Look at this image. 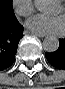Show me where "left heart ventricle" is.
Instances as JSON below:
<instances>
[{
    "instance_id": "b2bd125f",
    "label": "left heart ventricle",
    "mask_w": 65,
    "mask_h": 89,
    "mask_svg": "<svg viewBox=\"0 0 65 89\" xmlns=\"http://www.w3.org/2000/svg\"><path fill=\"white\" fill-rule=\"evenodd\" d=\"M61 12V8L59 7V9L55 12V13H59Z\"/></svg>"
}]
</instances>
